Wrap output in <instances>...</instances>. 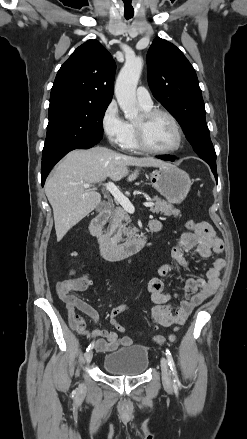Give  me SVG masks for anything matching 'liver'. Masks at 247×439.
Listing matches in <instances>:
<instances>
[{"label":"liver","mask_w":247,"mask_h":439,"mask_svg":"<svg viewBox=\"0 0 247 439\" xmlns=\"http://www.w3.org/2000/svg\"><path fill=\"white\" fill-rule=\"evenodd\" d=\"M171 165L152 157L123 155L105 147L73 150L57 165L45 183V193L53 209L57 241L101 202V195L86 189L83 184L103 182L107 178L128 181L137 178L135 167H164Z\"/></svg>","instance_id":"1"}]
</instances>
